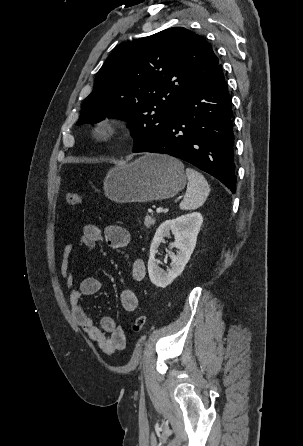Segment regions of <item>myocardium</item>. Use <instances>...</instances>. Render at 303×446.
I'll return each mask as SVG.
<instances>
[{
    "instance_id": "myocardium-1",
    "label": "myocardium",
    "mask_w": 303,
    "mask_h": 446,
    "mask_svg": "<svg viewBox=\"0 0 303 446\" xmlns=\"http://www.w3.org/2000/svg\"><path fill=\"white\" fill-rule=\"evenodd\" d=\"M120 133L118 123L111 117L99 119L93 126L91 134L93 140L98 144H107L117 138Z\"/></svg>"
}]
</instances>
